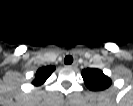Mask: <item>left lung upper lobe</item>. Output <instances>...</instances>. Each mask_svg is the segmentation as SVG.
Listing matches in <instances>:
<instances>
[{"label":"left lung upper lobe","mask_w":133,"mask_h":106,"mask_svg":"<svg viewBox=\"0 0 133 106\" xmlns=\"http://www.w3.org/2000/svg\"><path fill=\"white\" fill-rule=\"evenodd\" d=\"M85 85L92 91H101L108 88L112 81L104 73L95 68H87L82 71Z\"/></svg>","instance_id":"left-lung-upper-lobe-1"}]
</instances>
